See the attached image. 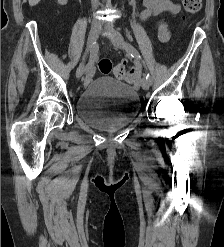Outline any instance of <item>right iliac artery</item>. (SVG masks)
Masks as SVG:
<instances>
[{"label": "right iliac artery", "mask_w": 224, "mask_h": 247, "mask_svg": "<svg viewBox=\"0 0 224 247\" xmlns=\"http://www.w3.org/2000/svg\"><path fill=\"white\" fill-rule=\"evenodd\" d=\"M97 53H98V44L95 42L94 45L92 46L91 50H90V59H89V62L85 68V71L87 73H90L91 70L93 69L94 62L97 58Z\"/></svg>", "instance_id": "obj_1"}]
</instances>
